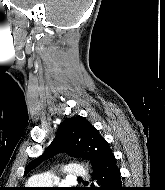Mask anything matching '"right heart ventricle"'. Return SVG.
I'll return each instance as SVG.
<instances>
[{
	"label": "right heart ventricle",
	"mask_w": 165,
	"mask_h": 190,
	"mask_svg": "<svg viewBox=\"0 0 165 190\" xmlns=\"http://www.w3.org/2000/svg\"><path fill=\"white\" fill-rule=\"evenodd\" d=\"M36 185H38V184L34 183L33 181H31V182L29 183V186H36Z\"/></svg>",
	"instance_id": "1"
}]
</instances>
